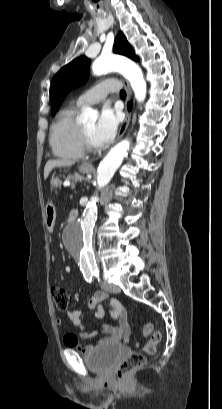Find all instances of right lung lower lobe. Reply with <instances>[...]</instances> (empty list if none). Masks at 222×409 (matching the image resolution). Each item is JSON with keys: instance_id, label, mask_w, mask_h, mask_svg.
I'll list each match as a JSON object with an SVG mask.
<instances>
[{"instance_id": "right-lung-lower-lobe-1", "label": "right lung lower lobe", "mask_w": 222, "mask_h": 409, "mask_svg": "<svg viewBox=\"0 0 222 409\" xmlns=\"http://www.w3.org/2000/svg\"><path fill=\"white\" fill-rule=\"evenodd\" d=\"M130 106H131V104L129 103V104H128V107L130 108Z\"/></svg>"}]
</instances>
